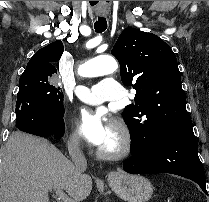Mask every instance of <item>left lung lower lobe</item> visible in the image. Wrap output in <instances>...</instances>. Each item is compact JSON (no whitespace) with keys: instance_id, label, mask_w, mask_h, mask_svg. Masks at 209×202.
<instances>
[{"instance_id":"0a47b994","label":"left lung lower lobe","mask_w":209,"mask_h":202,"mask_svg":"<svg viewBox=\"0 0 209 202\" xmlns=\"http://www.w3.org/2000/svg\"><path fill=\"white\" fill-rule=\"evenodd\" d=\"M131 154L123 169L132 174L171 173L193 180L206 191V177L198 157L192 128L165 136L155 144L131 142Z\"/></svg>"}]
</instances>
